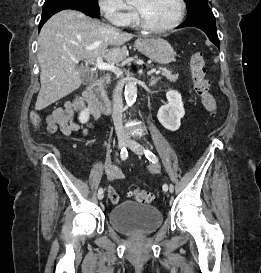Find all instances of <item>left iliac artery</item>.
I'll list each match as a JSON object with an SVG mask.
<instances>
[{
  "label": "left iliac artery",
  "mask_w": 261,
  "mask_h": 273,
  "mask_svg": "<svg viewBox=\"0 0 261 273\" xmlns=\"http://www.w3.org/2000/svg\"><path fill=\"white\" fill-rule=\"evenodd\" d=\"M145 156L149 161H151L154 164H156L158 162V158L156 157V155L149 150H145ZM162 189H163V191H167L168 190L167 184H164ZM169 189L171 191H174V186L171 184Z\"/></svg>",
  "instance_id": "left-iliac-artery-1"
}]
</instances>
